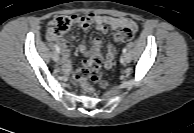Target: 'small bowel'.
<instances>
[{
	"label": "small bowel",
	"instance_id": "small-bowel-1",
	"mask_svg": "<svg viewBox=\"0 0 194 133\" xmlns=\"http://www.w3.org/2000/svg\"><path fill=\"white\" fill-rule=\"evenodd\" d=\"M72 22L77 23L82 29H88L90 26L95 25L97 30L102 33H107L108 29L113 30H123L125 28L131 29L134 33L137 30L136 23L128 18L124 17H111L107 15H98V14H76L71 17ZM48 38L50 40H55L60 45L63 57L61 61V67L63 71L68 74L71 71V64L68 59L69 55V46L70 42L65 38H58L54 36L50 31H48ZM101 47V40L99 38H95L92 42V49L94 52L99 51ZM79 51L83 54H88L89 50L85 43H81L79 45ZM116 48L113 45H108L105 67L111 68L113 65V60L116 55Z\"/></svg>",
	"mask_w": 194,
	"mask_h": 133
}]
</instances>
